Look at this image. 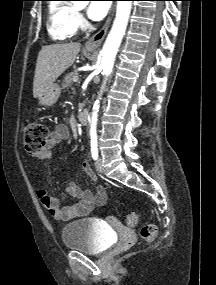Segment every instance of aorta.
<instances>
[{
    "label": "aorta",
    "mask_w": 216,
    "mask_h": 285,
    "mask_svg": "<svg viewBox=\"0 0 216 285\" xmlns=\"http://www.w3.org/2000/svg\"><path fill=\"white\" fill-rule=\"evenodd\" d=\"M132 7V1H118L116 9V17L111 28V31L105 41L103 49L101 51L102 60L101 66L103 68V74L107 78L113 69L115 57L125 34L126 27L128 24L130 12ZM106 81H104L102 88L104 87ZM100 101L97 99L93 105L92 119L90 132L92 134L96 133L97 117L99 112Z\"/></svg>",
    "instance_id": "aorta-1"
}]
</instances>
